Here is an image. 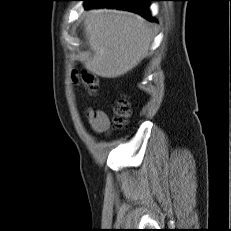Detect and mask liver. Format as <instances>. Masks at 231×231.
<instances>
[{"instance_id":"obj_1","label":"liver","mask_w":231,"mask_h":231,"mask_svg":"<svg viewBox=\"0 0 231 231\" xmlns=\"http://www.w3.org/2000/svg\"><path fill=\"white\" fill-rule=\"evenodd\" d=\"M84 33L89 50L80 56L85 68L103 78L131 71L148 54L152 29L139 15L93 9L85 14Z\"/></svg>"}]
</instances>
